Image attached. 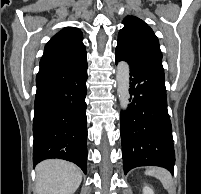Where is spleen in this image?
<instances>
[{
    "instance_id": "3e777b00",
    "label": "spleen",
    "mask_w": 201,
    "mask_h": 194,
    "mask_svg": "<svg viewBox=\"0 0 201 194\" xmlns=\"http://www.w3.org/2000/svg\"><path fill=\"white\" fill-rule=\"evenodd\" d=\"M146 175H150L159 179L165 189L168 191L171 190L172 187V177L170 173L162 168H150L146 170Z\"/></svg>"
}]
</instances>
